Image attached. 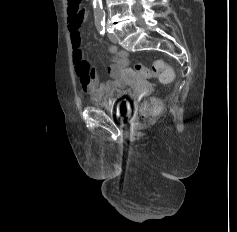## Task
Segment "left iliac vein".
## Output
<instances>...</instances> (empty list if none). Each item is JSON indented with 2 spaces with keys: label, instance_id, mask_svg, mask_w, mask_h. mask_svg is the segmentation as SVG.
I'll return each mask as SVG.
<instances>
[{
  "label": "left iliac vein",
  "instance_id": "4c4485c4",
  "mask_svg": "<svg viewBox=\"0 0 237 232\" xmlns=\"http://www.w3.org/2000/svg\"><path fill=\"white\" fill-rule=\"evenodd\" d=\"M108 38H109V40H110L112 43H114V44L117 43V38H116V36H115L114 34L109 33V34H108Z\"/></svg>",
  "mask_w": 237,
  "mask_h": 232
}]
</instances>
